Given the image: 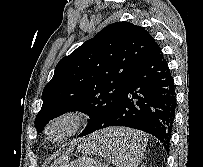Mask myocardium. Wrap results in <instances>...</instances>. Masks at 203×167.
<instances>
[{"label":"myocardium","instance_id":"obj_1","mask_svg":"<svg viewBox=\"0 0 203 167\" xmlns=\"http://www.w3.org/2000/svg\"><path fill=\"white\" fill-rule=\"evenodd\" d=\"M86 122V114L79 110L61 112L46 124L45 139L51 143L61 142L80 131Z\"/></svg>","mask_w":203,"mask_h":167}]
</instances>
